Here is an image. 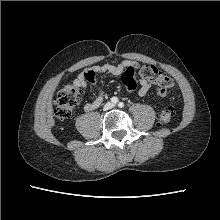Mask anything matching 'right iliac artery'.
Segmentation results:
<instances>
[{"mask_svg": "<svg viewBox=\"0 0 220 220\" xmlns=\"http://www.w3.org/2000/svg\"><path fill=\"white\" fill-rule=\"evenodd\" d=\"M111 102L116 104L118 102V98L117 97H112Z\"/></svg>", "mask_w": 220, "mask_h": 220, "instance_id": "right-iliac-artery-1", "label": "right iliac artery"}]
</instances>
